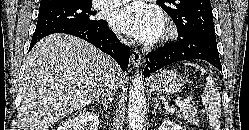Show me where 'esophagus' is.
I'll return each instance as SVG.
<instances>
[{"label": "esophagus", "mask_w": 249, "mask_h": 130, "mask_svg": "<svg viewBox=\"0 0 249 130\" xmlns=\"http://www.w3.org/2000/svg\"><path fill=\"white\" fill-rule=\"evenodd\" d=\"M131 63L134 68H139L141 65V54L137 49L131 51Z\"/></svg>", "instance_id": "1"}]
</instances>
